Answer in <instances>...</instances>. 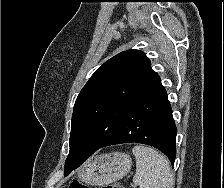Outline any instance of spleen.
<instances>
[{
	"mask_svg": "<svg viewBox=\"0 0 224 188\" xmlns=\"http://www.w3.org/2000/svg\"><path fill=\"white\" fill-rule=\"evenodd\" d=\"M136 174L133 182L140 188H172L173 177L167 159L151 147L136 145Z\"/></svg>",
	"mask_w": 224,
	"mask_h": 188,
	"instance_id": "obj_1",
	"label": "spleen"
}]
</instances>
